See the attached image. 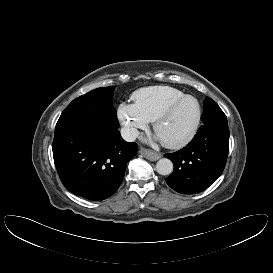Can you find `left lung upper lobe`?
<instances>
[{"instance_id":"left-lung-upper-lobe-1","label":"left lung upper lobe","mask_w":273,"mask_h":273,"mask_svg":"<svg viewBox=\"0 0 273 273\" xmlns=\"http://www.w3.org/2000/svg\"><path fill=\"white\" fill-rule=\"evenodd\" d=\"M204 111L201 116L203 126H213L217 124H226L227 118L218 104L211 98L206 97L203 103Z\"/></svg>"}]
</instances>
